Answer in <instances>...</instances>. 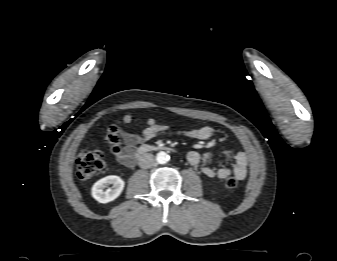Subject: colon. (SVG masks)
<instances>
[{"mask_svg":"<svg viewBox=\"0 0 337 261\" xmlns=\"http://www.w3.org/2000/svg\"><path fill=\"white\" fill-rule=\"evenodd\" d=\"M105 142L114 154L120 152V142L118 134V125H110L105 134ZM104 167V159L100 152L83 150L79 153L76 160L77 176L81 180H87L99 173ZM225 186L229 189H234L238 186V180L235 177H227L225 179Z\"/></svg>","mask_w":337,"mask_h":261,"instance_id":"obj_1","label":"colon"}]
</instances>
